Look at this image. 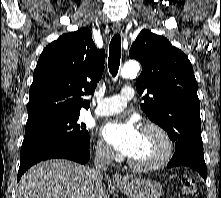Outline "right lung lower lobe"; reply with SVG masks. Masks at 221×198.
Segmentation results:
<instances>
[{"instance_id":"obj_1","label":"right lung lower lobe","mask_w":221,"mask_h":198,"mask_svg":"<svg viewBox=\"0 0 221 198\" xmlns=\"http://www.w3.org/2000/svg\"><path fill=\"white\" fill-rule=\"evenodd\" d=\"M63 158L85 164L90 159V145L71 142H50L27 151L21 155L17 181L32 165L47 159Z\"/></svg>"}]
</instances>
